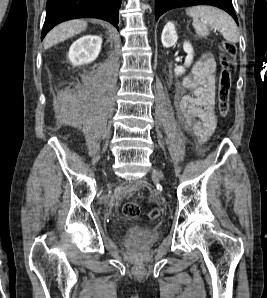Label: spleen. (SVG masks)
Wrapping results in <instances>:
<instances>
[{
    "label": "spleen",
    "instance_id": "spleen-1",
    "mask_svg": "<svg viewBox=\"0 0 267 298\" xmlns=\"http://www.w3.org/2000/svg\"><path fill=\"white\" fill-rule=\"evenodd\" d=\"M193 18V27L197 35L206 37L210 30H218L230 43L239 41L238 27L233 18L226 12L212 6L199 5L188 9Z\"/></svg>",
    "mask_w": 267,
    "mask_h": 298
}]
</instances>
